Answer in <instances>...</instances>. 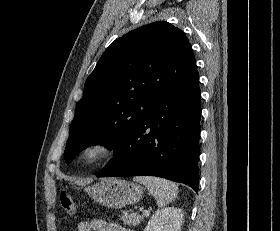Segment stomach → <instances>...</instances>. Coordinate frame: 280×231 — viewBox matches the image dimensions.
<instances>
[{"instance_id":"1","label":"stomach","mask_w":280,"mask_h":231,"mask_svg":"<svg viewBox=\"0 0 280 231\" xmlns=\"http://www.w3.org/2000/svg\"><path fill=\"white\" fill-rule=\"evenodd\" d=\"M75 183L82 185L84 191H87L94 201L105 205V207H113V209L136 203L142 199L143 195L141 185L125 181V179H102L94 185H86V183H90V179H86V181L77 179Z\"/></svg>"}]
</instances>
